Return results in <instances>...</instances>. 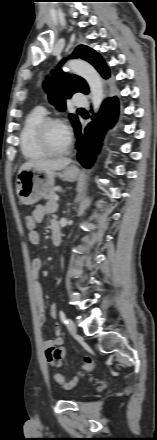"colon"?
<instances>
[{
  "instance_id": "1",
  "label": "colon",
  "mask_w": 157,
  "mask_h": 440,
  "mask_svg": "<svg viewBox=\"0 0 157 440\" xmlns=\"http://www.w3.org/2000/svg\"><path fill=\"white\" fill-rule=\"evenodd\" d=\"M25 226L29 230V232L35 231L37 227V222L34 219L33 215H28L25 217ZM50 353L56 357L60 358L63 355V349L60 346H56L51 349ZM95 367V362L90 356H85L84 358V371L89 372ZM54 380L61 386H63L65 389H71L73 388L78 381V376L75 377L73 380L66 382L64 377L60 373L54 374Z\"/></svg>"
}]
</instances>
